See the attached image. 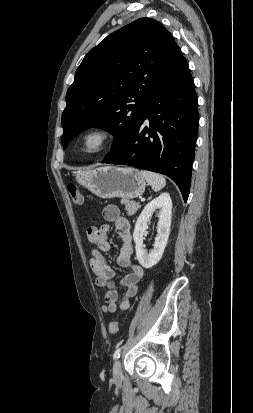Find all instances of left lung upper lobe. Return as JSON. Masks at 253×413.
<instances>
[{
	"mask_svg": "<svg viewBox=\"0 0 253 413\" xmlns=\"http://www.w3.org/2000/svg\"><path fill=\"white\" fill-rule=\"evenodd\" d=\"M179 50L171 33L150 18L122 27L91 49L67 91L63 148L82 131L99 127L115 136L104 160L123 150Z\"/></svg>",
	"mask_w": 253,
	"mask_h": 413,
	"instance_id": "obj_1",
	"label": "left lung upper lobe"
}]
</instances>
